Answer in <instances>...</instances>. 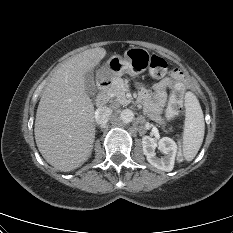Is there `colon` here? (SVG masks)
<instances>
[{
	"mask_svg": "<svg viewBox=\"0 0 233 233\" xmlns=\"http://www.w3.org/2000/svg\"><path fill=\"white\" fill-rule=\"evenodd\" d=\"M168 64L166 60L160 56L153 55L149 61V71L152 76L161 78L167 73ZM184 85L182 82H176L174 89L170 95L168 106L166 108L165 117L171 119L175 117L180 111L183 104ZM184 155L179 152L177 155V161L182 162Z\"/></svg>",
	"mask_w": 233,
	"mask_h": 233,
	"instance_id": "obj_1",
	"label": "colon"
}]
</instances>
